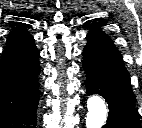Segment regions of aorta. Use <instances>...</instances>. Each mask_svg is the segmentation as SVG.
<instances>
[{"mask_svg": "<svg viewBox=\"0 0 142 128\" xmlns=\"http://www.w3.org/2000/svg\"><path fill=\"white\" fill-rule=\"evenodd\" d=\"M87 128H101L107 117V106L105 101L98 95H92L87 100Z\"/></svg>", "mask_w": 142, "mask_h": 128, "instance_id": "762f6f07", "label": "aorta"}]
</instances>
